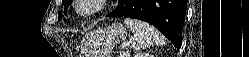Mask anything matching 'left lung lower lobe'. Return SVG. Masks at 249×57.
I'll use <instances>...</instances> for the list:
<instances>
[{"mask_svg":"<svg viewBox=\"0 0 249 57\" xmlns=\"http://www.w3.org/2000/svg\"><path fill=\"white\" fill-rule=\"evenodd\" d=\"M186 9V0H118L117 8L108 16L146 21L179 48L182 43L181 31Z\"/></svg>","mask_w":249,"mask_h":57,"instance_id":"obj_1","label":"left lung lower lobe"}]
</instances>
